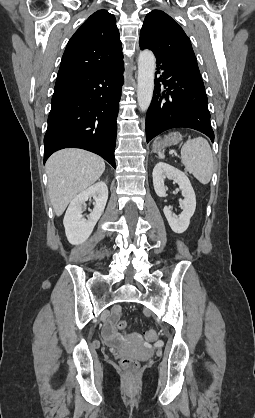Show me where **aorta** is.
Returning <instances> with one entry per match:
<instances>
[{
	"label": "aorta",
	"mask_w": 255,
	"mask_h": 418,
	"mask_svg": "<svg viewBox=\"0 0 255 418\" xmlns=\"http://www.w3.org/2000/svg\"><path fill=\"white\" fill-rule=\"evenodd\" d=\"M155 56L152 51L140 52L138 58L137 101L139 108L145 112L151 103L154 90Z\"/></svg>",
	"instance_id": "aorta-1"
}]
</instances>
